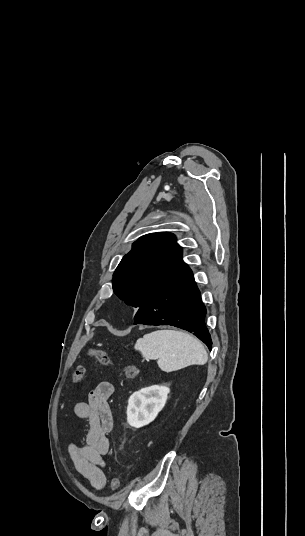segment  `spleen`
<instances>
[{"label": "spleen", "instance_id": "1", "mask_svg": "<svg viewBox=\"0 0 305 536\" xmlns=\"http://www.w3.org/2000/svg\"><path fill=\"white\" fill-rule=\"evenodd\" d=\"M134 350L145 360H157L163 372H176L187 366H203L208 354L201 342L186 332L157 330L137 340Z\"/></svg>", "mask_w": 305, "mask_h": 536}]
</instances>
